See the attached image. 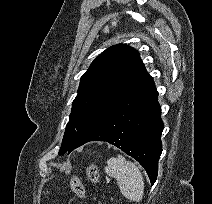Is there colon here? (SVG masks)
I'll return each instance as SVG.
<instances>
[{"label":"colon","instance_id":"1","mask_svg":"<svg viewBox=\"0 0 212 204\" xmlns=\"http://www.w3.org/2000/svg\"><path fill=\"white\" fill-rule=\"evenodd\" d=\"M86 172H87V175H88L90 181L93 184L98 183L99 172H98V167L96 164H94V163L88 164V166L86 168ZM70 184H71V190L77 197L82 198V199L86 198V195H87L86 189H85L84 185L82 184L81 180L79 179V177H77V176L72 177Z\"/></svg>","mask_w":212,"mask_h":204}]
</instances>
